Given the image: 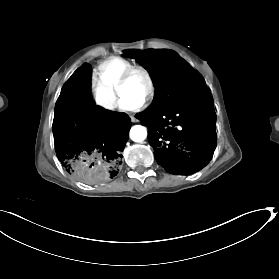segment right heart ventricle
Listing matches in <instances>:
<instances>
[{
    "label": "right heart ventricle",
    "instance_id": "e07e8e85",
    "mask_svg": "<svg viewBox=\"0 0 279 279\" xmlns=\"http://www.w3.org/2000/svg\"><path fill=\"white\" fill-rule=\"evenodd\" d=\"M131 66H134V64L122 57H108L94 68L92 73L93 84H101L112 92L117 93L120 76Z\"/></svg>",
    "mask_w": 279,
    "mask_h": 279
}]
</instances>
